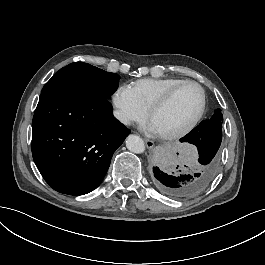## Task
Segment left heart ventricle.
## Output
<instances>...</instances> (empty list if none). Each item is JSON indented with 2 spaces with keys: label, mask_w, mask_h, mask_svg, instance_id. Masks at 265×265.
<instances>
[{
  "label": "left heart ventricle",
  "mask_w": 265,
  "mask_h": 265,
  "mask_svg": "<svg viewBox=\"0 0 265 265\" xmlns=\"http://www.w3.org/2000/svg\"><path fill=\"white\" fill-rule=\"evenodd\" d=\"M200 105V90L193 84H187L166 106L154 113L149 122L154 125L158 135L169 134L185 127L197 114Z\"/></svg>",
  "instance_id": "left-heart-ventricle-1"
}]
</instances>
